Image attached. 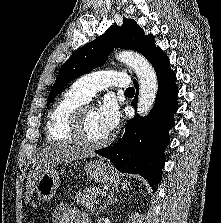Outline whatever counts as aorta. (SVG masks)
Instances as JSON below:
<instances>
[{
    "label": "aorta",
    "mask_w": 221,
    "mask_h": 223,
    "mask_svg": "<svg viewBox=\"0 0 221 223\" xmlns=\"http://www.w3.org/2000/svg\"><path fill=\"white\" fill-rule=\"evenodd\" d=\"M115 58L135 71L140 86L138 113L146 116L155 102L158 89L157 76L153 67L142 55L133 51L119 52L115 54Z\"/></svg>",
    "instance_id": "aorta-1"
}]
</instances>
